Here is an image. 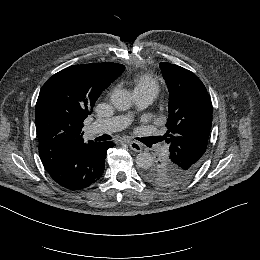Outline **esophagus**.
<instances>
[{"instance_id":"34e87169","label":"esophagus","mask_w":260,"mask_h":260,"mask_svg":"<svg viewBox=\"0 0 260 260\" xmlns=\"http://www.w3.org/2000/svg\"><path fill=\"white\" fill-rule=\"evenodd\" d=\"M129 147L136 152H141L142 151V145L138 143L137 141H130L129 142Z\"/></svg>"}]
</instances>
